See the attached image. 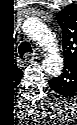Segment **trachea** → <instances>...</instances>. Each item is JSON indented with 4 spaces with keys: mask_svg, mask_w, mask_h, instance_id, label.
<instances>
[{
    "mask_svg": "<svg viewBox=\"0 0 77 125\" xmlns=\"http://www.w3.org/2000/svg\"><path fill=\"white\" fill-rule=\"evenodd\" d=\"M32 48L27 42H22L19 46V52L24 54L25 52H31Z\"/></svg>",
    "mask_w": 77,
    "mask_h": 125,
    "instance_id": "trachea-1",
    "label": "trachea"
}]
</instances>
